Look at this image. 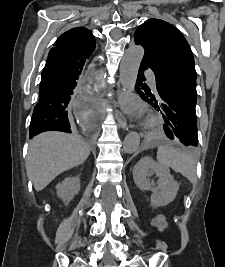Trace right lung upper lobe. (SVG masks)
Instances as JSON below:
<instances>
[{"label": "right lung upper lobe", "instance_id": "cb5924a9", "mask_svg": "<svg viewBox=\"0 0 225 267\" xmlns=\"http://www.w3.org/2000/svg\"><path fill=\"white\" fill-rule=\"evenodd\" d=\"M55 46H73L95 48V39L91 31L85 27H76L63 33L55 42Z\"/></svg>", "mask_w": 225, "mask_h": 267}]
</instances>
